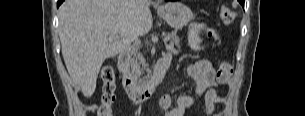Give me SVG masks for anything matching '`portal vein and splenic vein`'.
<instances>
[{
    "instance_id": "portal-vein-and-splenic-vein-1",
    "label": "portal vein and splenic vein",
    "mask_w": 305,
    "mask_h": 116,
    "mask_svg": "<svg viewBox=\"0 0 305 116\" xmlns=\"http://www.w3.org/2000/svg\"><path fill=\"white\" fill-rule=\"evenodd\" d=\"M170 40V37L169 36H165L164 37V42H167V41H169Z\"/></svg>"
}]
</instances>
